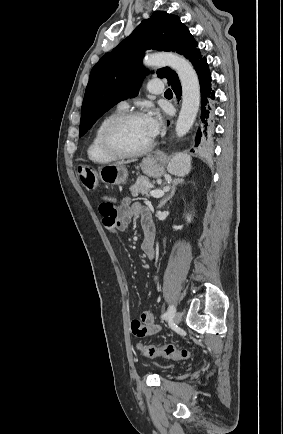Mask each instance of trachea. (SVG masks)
I'll return each mask as SVG.
<instances>
[{"label": "trachea", "instance_id": "obj_1", "mask_svg": "<svg viewBox=\"0 0 283 434\" xmlns=\"http://www.w3.org/2000/svg\"><path fill=\"white\" fill-rule=\"evenodd\" d=\"M170 94H172L171 89H167V90L165 91V95H170Z\"/></svg>", "mask_w": 283, "mask_h": 434}]
</instances>
